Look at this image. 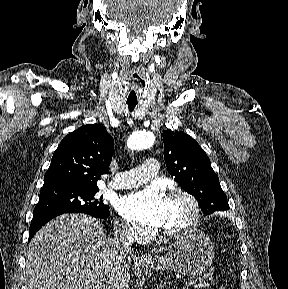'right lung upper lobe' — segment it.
<instances>
[{
  "mask_svg": "<svg viewBox=\"0 0 288 289\" xmlns=\"http://www.w3.org/2000/svg\"><path fill=\"white\" fill-rule=\"evenodd\" d=\"M114 140L100 124L82 126L68 134L55 150L43 188L97 187L109 172Z\"/></svg>",
  "mask_w": 288,
  "mask_h": 289,
  "instance_id": "cb5924a9",
  "label": "right lung upper lobe"
}]
</instances>
